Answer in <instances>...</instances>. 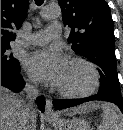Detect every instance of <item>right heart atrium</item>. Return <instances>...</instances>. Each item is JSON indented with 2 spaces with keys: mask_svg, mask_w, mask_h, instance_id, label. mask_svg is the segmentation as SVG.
<instances>
[{
  "mask_svg": "<svg viewBox=\"0 0 123 130\" xmlns=\"http://www.w3.org/2000/svg\"><path fill=\"white\" fill-rule=\"evenodd\" d=\"M29 85H30L31 87H33V86H34V83H33L32 81H30V82H29Z\"/></svg>",
  "mask_w": 123,
  "mask_h": 130,
  "instance_id": "right-heart-atrium-1",
  "label": "right heart atrium"
}]
</instances>
